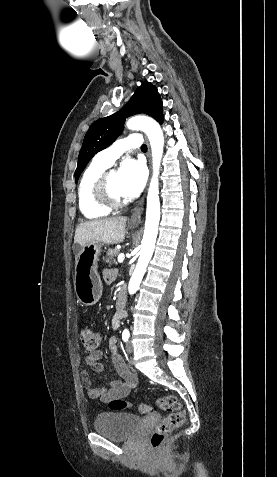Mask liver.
<instances>
[{"instance_id":"1","label":"liver","mask_w":277,"mask_h":477,"mask_svg":"<svg viewBox=\"0 0 277 477\" xmlns=\"http://www.w3.org/2000/svg\"><path fill=\"white\" fill-rule=\"evenodd\" d=\"M126 221V217L118 216L82 222L76 227L74 242L80 247L90 242L120 243L125 238Z\"/></svg>"}]
</instances>
